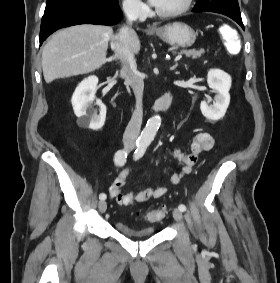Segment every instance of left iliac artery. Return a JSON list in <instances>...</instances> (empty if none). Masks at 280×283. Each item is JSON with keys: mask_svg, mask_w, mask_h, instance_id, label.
<instances>
[{"mask_svg": "<svg viewBox=\"0 0 280 283\" xmlns=\"http://www.w3.org/2000/svg\"><path fill=\"white\" fill-rule=\"evenodd\" d=\"M147 147H148V144H147V143L140 144V145L138 146V148L136 149L135 153H134V158H135L136 160L139 159V158H141V157L144 155V153H145ZM178 209H179L180 211L184 212V211L186 210V206H185L184 204H180V205L178 206Z\"/></svg>", "mask_w": 280, "mask_h": 283, "instance_id": "44dca946", "label": "left iliac artery"}]
</instances>
